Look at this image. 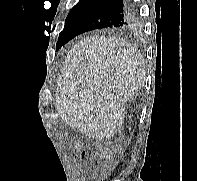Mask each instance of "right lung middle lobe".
I'll use <instances>...</instances> for the list:
<instances>
[{
  "instance_id": "1",
  "label": "right lung middle lobe",
  "mask_w": 197,
  "mask_h": 181,
  "mask_svg": "<svg viewBox=\"0 0 197 181\" xmlns=\"http://www.w3.org/2000/svg\"><path fill=\"white\" fill-rule=\"evenodd\" d=\"M85 10L82 9H77V10H71L70 13L68 14L66 21H65V26L63 31L60 33L58 42H57V49L60 48L62 42L65 40L67 37V34L71 27L73 26L74 22L77 20V18L84 12ZM115 29V28H113Z\"/></svg>"
}]
</instances>
